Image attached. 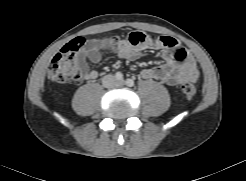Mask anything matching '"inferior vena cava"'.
Here are the masks:
<instances>
[{"label": "inferior vena cava", "mask_w": 246, "mask_h": 181, "mask_svg": "<svg viewBox=\"0 0 246 181\" xmlns=\"http://www.w3.org/2000/svg\"><path fill=\"white\" fill-rule=\"evenodd\" d=\"M114 81H115V78L113 75H106L102 79L103 85L105 87H111Z\"/></svg>", "instance_id": "obj_1"}]
</instances>
